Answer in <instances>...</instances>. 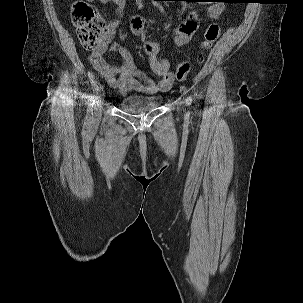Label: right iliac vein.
Returning a JSON list of instances; mask_svg holds the SVG:
<instances>
[{
    "instance_id": "obj_1",
    "label": "right iliac vein",
    "mask_w": 303,
    "mask_h": 303,
    "mask_svg": "<svg viewBox=\"0 0 303 303\" xmlns=\"http://www.w3.org/2000/svg\"><path fill=\"white\" fill-rule=\"evenodd\" d=\"M103 95L99 94L98 97L95 100V107H94V120L98 121L99 118L101 117V112H102V106H103Z\"/></svg>"
}]
</instances>
